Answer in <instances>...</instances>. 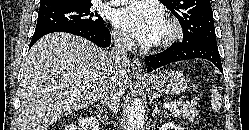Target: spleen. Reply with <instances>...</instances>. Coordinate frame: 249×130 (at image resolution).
<instances>
[{
	"label": "spleen",
	"mask_w": 249,
	"mask_h": 130,
	"mask_svg": "<svg viewBox=\"0 0 249 130\" xmlns=\"http://www.w3.org/2000/svg\"><path fill=\"white\" fill-rule=\"evenodd\" d=\"M211 104H212V109L214 111H218L221 107V95L218 93L217 89L215 87H212L211 89Z\"/></svg>",
	"instance_id": "spleen-1"
}]
</instances>
